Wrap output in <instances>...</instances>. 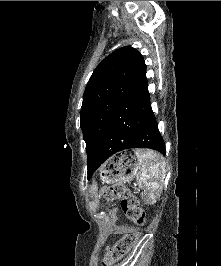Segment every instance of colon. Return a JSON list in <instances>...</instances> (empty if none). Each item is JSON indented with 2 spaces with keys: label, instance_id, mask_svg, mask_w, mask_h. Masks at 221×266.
Instances as JSON below:
<instances>
[{
  "label": "colon",
  "instance_id": "colon-1",
  "mask_svg": "<svg viewBox=\"0 0 221 266\" xmlns=\"http://www.w3.org/2000/svg\"><path fill=\"white\" fill-rule=\"evenodd\" d=\"M102 196L113 201L120 199V206L126 218L142 227L146 223L144 210L139 206L134 195L127 193L122 184H115L109 187H104L101 190ZM139 237L138 232H130L125 234L118 242H116L105 254L103 262L105 266L119 261L126 253L136 244Z\"/></svg>",
  "mask_w": 221,
  "mask_h": 266
}]
</instances>
